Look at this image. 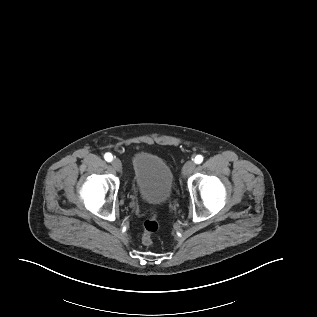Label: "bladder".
<instances>
[{"instance_id": "1", "label": "bladder", "mask_w": 317, "mask_h": 317, "mask_svg": "<svg viewBox=\"0 0 317 317\" xmlns=\"http://www.w3.org/2000/svg\"><path fill=\"white\" fill-rule=\"evenodd\" d=\"M132 169L136 188L144 201L161 204L170 199L174 174L162 158L148 152H137L132 158Z\"/></svg>"}]
</instances>
